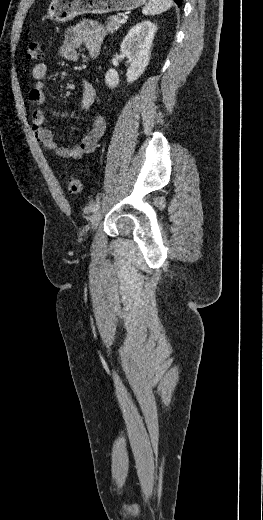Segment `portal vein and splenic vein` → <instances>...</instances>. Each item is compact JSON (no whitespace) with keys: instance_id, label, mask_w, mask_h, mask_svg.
Wrapping results in <instances>:
<instances>
[{"instance_id":"1","label":"portal vein and splenic vein","mask_w":263,"mask_h":520,"mask_svg":"<svg viewBox=\"0 0 263 520\" xmlns=\"http://www.w3.org/2000/svg\"><path fill=\"white\" fill-rule=\"evenodd\" d=\"M126 21H127V17H124L119 20V23L124 24V23H126Z\"/></svg>"}]
</instances>
